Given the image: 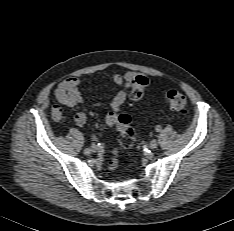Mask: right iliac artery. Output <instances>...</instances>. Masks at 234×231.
<instances>
[{"mask_svg":"<svg viewBox=\"0 0 234 231\" xmlns=\"http://www.w3.org/2000/svg\"><path fill=\"white\" fill-rule=\"evenodd\" d=\"M98 147H100V144H95V143L91 144V149H98Z\"/></svg>","mask_w":234,"mask_h":231,"instance_id":"82829eb1","label":"right iliac artery"}]
</instances>
